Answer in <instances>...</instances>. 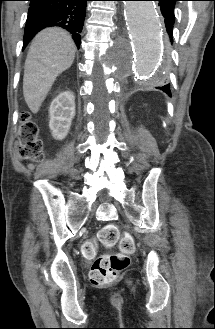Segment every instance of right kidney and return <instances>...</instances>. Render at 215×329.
Segmentation results:
<instances>
[{"mask_svg": "<svg viewBox=\"0 0 215 329\" xmlns=\"http://www.w3.org/2000/svg\"><path fill=\"white\" fill-rule=\"evenodd\" d=\"M49 127L54 138L64 139L75 116V97L70 91L60 93L50 105Z\"/></svg>", "mask_w": 215, "mask_h": 329, "instance_id": "right-kidney-1", "label": "right kidney"}]
</instances>
